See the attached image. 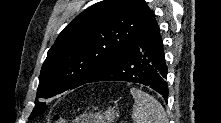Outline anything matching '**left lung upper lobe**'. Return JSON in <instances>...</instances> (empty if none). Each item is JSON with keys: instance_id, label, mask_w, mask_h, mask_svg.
I'll use <instances>...</instances> for the list:
<instances>
[{"instance_id": "left-lung-upper-lobe-1", "label": "left lung upper lobe", "mask_w": 221, "mask_h": 123, "mask_svg": "<svg viewBox=\"0 0 221 123\" xmlns=\"http://www.w3.org/2000/svg\"><path fill=\"white\" fill-rule=\"evenodd\" d=\"M154 20L144 0H104L83 11L63 29L48 51L29 119L47 109L42 102L45 99L87 83Z\"/></svg>"}]
</instances>
